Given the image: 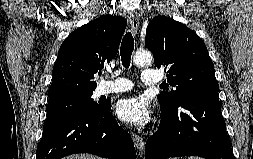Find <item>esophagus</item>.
<instances>
[{"mask_svg": "<svg viewBox=\"0 0 253 159\" xmlns=\"http://www.w3.org/2000/svg\"><path fill=\"white\" fill-rule=\"evenodd\" d=\"M130 24H131V30L133 35H136L139 28V18L132 14L130 15ZM132 140L134 142L135 147L137 148L140 155H143L144 152V146H145V140L143 137L139 136L136 133H132Z\"/></svg>", "mask_w": 253, "mask_h": 159, "instance_id": "34e87169", "label": "esophagus"}]
</instances>
